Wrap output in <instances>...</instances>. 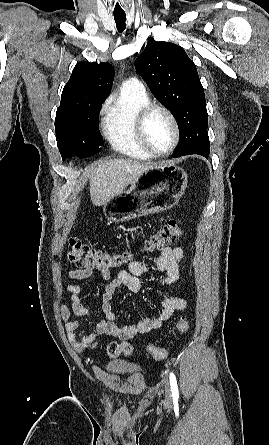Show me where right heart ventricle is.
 Listing matches in <instances>:
<instances>
[{
    "label": "right heart ventricle",
    "instance_id": "1",
    "mask_svg": "<svg viewBox=\"0 0 269 445\" xmlns=\"http://www.w3.org/2000/svg\"><path fill=\"white\" fill-rule=\"evenodd\" d=\"M149 103L146 93L121 88L109 105L102 123L104 135L118 153L141 161L152 159L139 144L135 133L138 111Z\"/></svg>",
    "mask_w": 269,
    "mask_h": 445
}]
</instances>
